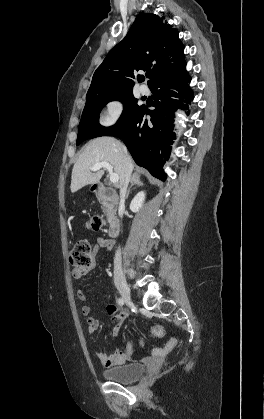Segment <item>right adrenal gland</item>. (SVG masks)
I'll list each match as a JSON object with an SVG mask.
<instances>
[{
  "instance_id": "obj_1",
  "label": "right adrenal gland",
  "mask_w": 264,
  "mask_h": 419,
  "mask_svg": "<svg viewBox=\"0 0 264 419\" xmlns=\"http://www.w3.org/2000/svg\"><path fill=\"white\" fill-rule=\"evenodd\" d=\"M143 185H144V184H143V183L141 182V180H140V175H139V174H137V173L133 174V176H132V178H131V185H130V187H129L128 191H127L126 198H128L129 193H130V190H131V188H132V187H134V186L141 187V186H143Z\"/></svg>"
}]
</instances>
